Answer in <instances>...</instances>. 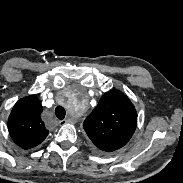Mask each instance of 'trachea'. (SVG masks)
I'll return each instance as SVG.
<instances>
[{"label": "trachea", "mask_w": 183, "mask_h": 183, "mask_svg": "<svg viewBox=\"0 0 183 183\" xmlns=\"http://www.w3.org/2000/svg\"><path fill=\"white\" fill-rule=\"evenodd\" d=\"M55 114H56V116H57L60 120H63L64 117H65L66 112H65V110H64L63 107L58 106V107H56V109H55Z\"/></svg>", "instance_id": "trachea-1"}]
</instances>
